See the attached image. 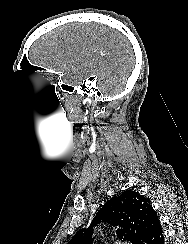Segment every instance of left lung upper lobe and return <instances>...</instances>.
<instances>
[{"mask_svg":"<svg viewBox=\"0 0 188 244\" xmlns=\"http://www.w3.org/2000/svg\"><path fill=\"white\" fill-rule=\"evenodd\" d=\"M154 213L148 198L135 191H124L106 202L92 220L91 226L80 229L68 244H91L93 226L100 222L124 227L116 231L120 240L142 244L148 222Z\"/></svg>","mask_w":188,"mask_h":244,"instance_id":"left-lung-upper-lobe-1","label":"left lung upper lobe"}]
</instances>
